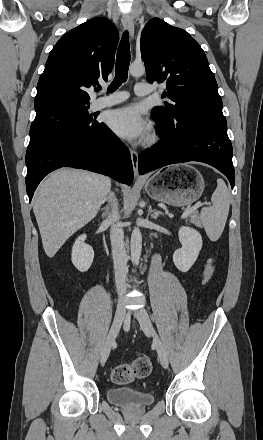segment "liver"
<instances>
[{
    "label": "liver",
    "instance_id": "obj_1",
    "mask_svg": "<svg viewBox=\"0 0 263 440\" xmlns=\"http://www.w3.org/2000/svg\"><path fill=\"white\" fill-rule=\"evenodd\" d=\"M110 187L104 175L69 168L53 172L39 185L33 211L48 257L97 215Z\"/></svg>",
    "mask_w": 263,
    "mask_h": 440
}]
</instances>
